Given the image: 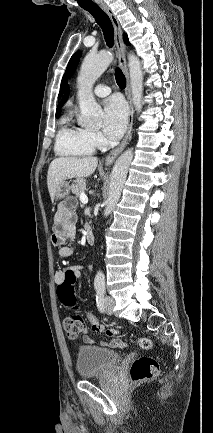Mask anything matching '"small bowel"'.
I'll list each match as a JSON object with an SVG mask.
<instances>
[{
    "label": "small bowel",
    "instance_id": "obj_1",
    "mask_svg": "<svg viewBox=\"0 0 213 433\" xmlns=\"http://www.w3.org/2000/svg\"><path fill=\"white\" fill-rule=\"evenodd\" d=\"M71 206L72 203L70 202L61 203L54 217L52 243L54 246L58 247V254L62 258L71 257L75 252V248L72 245H65L67 240H74L76 237V216L71 211ZM82 268L83 266H69L57 271L54 280L58 289L64 284L65 273L67 270H72L76 277H78ZM86 317L87 319L89 318V313L86 314ZM82 333L83 339L86 343H94V339L89 336L86 328L83 329ZM102 344L113 348L124 346V343L120 339L104 341Z\"/></svg>",
    "mask_w": 213,
    "mask_h": 433
}]
</instances>
